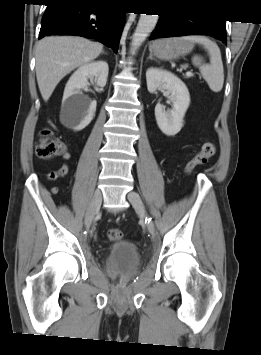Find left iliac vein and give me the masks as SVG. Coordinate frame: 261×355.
Listing matches in <instances>:
<instances>
[{
    "label": "left iliac vein",
    "mask_w": 261,
    "mask_h": 355,
    "mask_svg": "<svg viewBox=\"0 0 261 355\" xmlns=\"http://www.w3.org/2000/svg\"><path fill=\"white\" fill-rule=\"evenodd\" d=\"M128 200L136 210V212L139 214V216L146 221L148 219V214L145 210L144 204L139 196L138 193L136 192H130L127 195ZM146 227L149 231L150 234L154 235L155 234V227L152 221L146 222Z\"/></svg>",
    "instance_id": "obj_1"
}]
</instances>
